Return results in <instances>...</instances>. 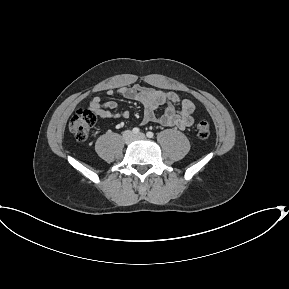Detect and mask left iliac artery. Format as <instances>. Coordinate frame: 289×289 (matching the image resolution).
I'll list each match as a JSON object with an SVG mask.
<instances>
[{
  "mask_svg": "<svg viewBox=\"0 0 289 289\" xmlns=\"http://www.w3.org/2000/svg\"><path fill=\"white\" fill-rule=\"evenodd\" d=\"M146 135H147L148 138H153V136H154L153 132H151V131H148L146 133Z\"/></svg>",
  "mask_w": 289,
  "mask_h": 289,
  "instance_id": "left-iliac-artery-1",
  "label": "left iliac artery"
}]
</instances>
